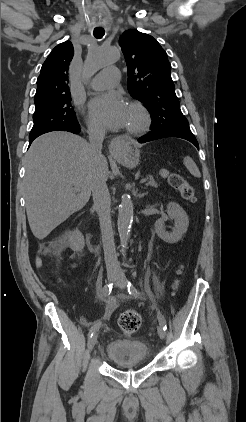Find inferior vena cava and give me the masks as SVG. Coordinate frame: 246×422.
<instances>
[{"label":"inferior vena cava","mask_w":246,"mask_h":422,"mask_svg":"<svg viewBox=\"0 0 246 422\" xmlns=\"http://www.w3.org/2000/svg\"><path fill=\"white\" fill-rule=\"evenodd\" d=\"M88 134L90 153L94 157L96 165L92 177L91 191L100 222L106 268L109 272L119 273L121 270L116 255L110 215V193L106 185L107 177L101 167V150L105 130L102 127L91 126L88 129Z\"/></svg>","instance_id":"obj_1"}]
</instances>
